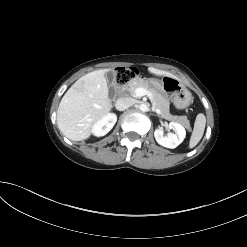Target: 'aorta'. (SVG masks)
Returning <instances> with one entry per match:
<instances>
[{
	"label": "aorta",
	"mask_w": 247,
	"mask_h": 247,
	"mask_svg": "<svg viewBox=\"0 0 247 247\" xmlns=\"http://www.w3.org/2000/svg\"><path fill=\"white\" fill-rule=\"evenodd\" d=\"M139 109H140L142 112H147L149 108H148L147 104L142 103V104L139 105Z\"/></svg>",
	"instance_id": "762f6f07"
}]
</instances>
